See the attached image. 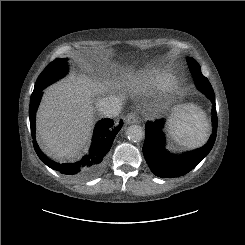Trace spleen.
Instances as JSON below:
<instances>
[{
	"instance_id": "1",
	"label": "spleen",
	"mask_w": 245,
	"mask_h": 245,
	"mask_svg": "<svg viewBox=\"0 0 245 245\" xmlns=\"http://www.w3.org/2000/svg\"><path fill=\"white\" fill-rule=\"evenodd\" d=\"M182 107L181 114L170 120V136L176 143L188 148L204 145L210 134L205 113L193 104Z\"/></svg>"
}]
</instances>
